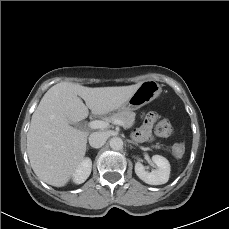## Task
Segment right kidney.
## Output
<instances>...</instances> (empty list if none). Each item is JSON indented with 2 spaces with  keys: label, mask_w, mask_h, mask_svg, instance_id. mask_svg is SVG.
I'll return each instance as SVG.
<instances>
[{
  "label": "right kidney",
  "mask_w": 229,
  "mask_h": 229,
  "mask_svg": "<svg viewBox=\"0 0 229 229\" xmlns=\"http://www.w3.org/2000/svg\"><path fill=\"white\" fill-rule=\"evenodd\" d=\"M92 169V161L90 158H85L73 175V182L81 184L89 177Z\"/></svg>",
  "instance_id": "ca27d5eb"
}]
</instances>
